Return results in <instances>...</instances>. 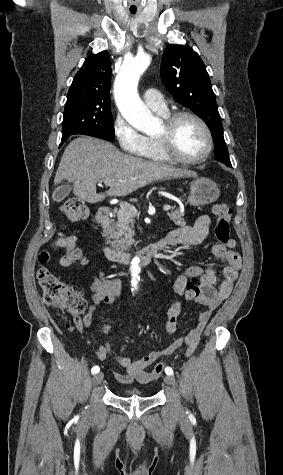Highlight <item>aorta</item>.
<instances>
[{"instance_id":"obj_1","label":"aorta","mask_w":283,"mask_h":475,"mask_svg":"<svg viewBox=\"0 0 283 475\" xmlns=\"http://www.w3.org/2000/svg\"><path fill=\"white\" fill-rule=\"evenodd\" d=\"M151 57L142 53L126 59L114 82V97L122 116L136 129L148 135L159 131L161 123L142 102L138 94V82L149 66ZM132 291L136 292L140 281V259L134 257L131 266Z\"/></svg>"}]
</instances>
